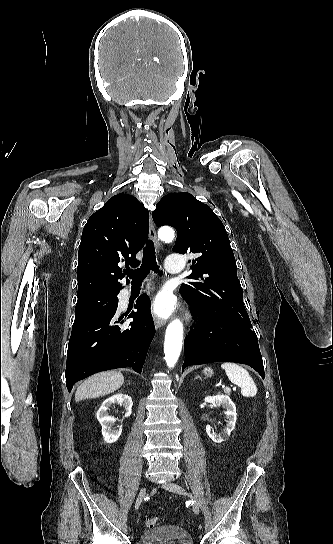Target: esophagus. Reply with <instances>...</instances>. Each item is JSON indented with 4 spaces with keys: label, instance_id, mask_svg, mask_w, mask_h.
I'll use <instances>...</instances> for the list:
<instances>
[{
    "label": "esophagus",
    "instance_id": "esophagus-1",
    "mask_svg": "<svg viewBox=\"0 0 333 544\" xmlns=\"http://www.w3.org/2000/svg\"><path fill=\"white\" fill-rule=\"evenodd\" d=\"M149 237L154 242L156 250H159L160 244H159V240L157 238L156 229H155V225H154L152 216H150V218H149ZM154 324H155V327L157 329H159L160 327L164 326L165 322L162 319H160L159 317H155L154 318Z\"/></svg>",
    "mask_w": 333,
    "mask_h": 544
}]
</instances>
